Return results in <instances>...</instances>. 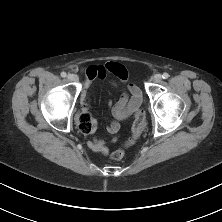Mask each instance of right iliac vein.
Segmentation results:
<instances>
[{"mask_svg": "<svg viewBox=\"0 0 222 222\" xmlns=\"http://www.w3.org/2000/svg\"><path fill=\"white\" fill-rule=\"evenodd\" d=\"M67 78H68L70 81H73V82L78 81V76L75 75V74H68Z\"/></svg>", "mask_w": 222, "mask_h": 222, "instance_id": "right-iliac-vein-1", "label": "right iliac vein"}]
</instances>
